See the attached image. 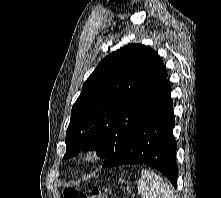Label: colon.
I'll list each match as a JSON object with an SVG mask.
<instances>
[{
    "label": "colon",
    "mask_w": 221,
    "mask_h": 198,
    "mask_svg": "<svg viewBox=\"0 0 221 198\" xmlns=\"http://www.w3.org/2000/svg\"><path fill=\"white\" fill-rule=\"evenodd\" d=\"M110 189H93L90 194H85L76 189L68 188L64 191L65 198H108Z\"/></svg>",
    "instance_id": "1"
}]
</instances>
